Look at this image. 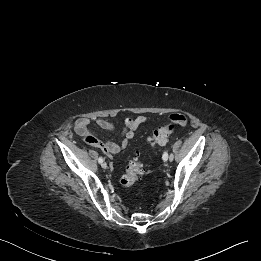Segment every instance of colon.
Segmentation results:
<instances>
[{
	"label": "colon",
	"mask_w": 261,
	"mask_h": 261,
	"mask_svg": "<svg viewBox=\"0 0 261 261\" xmlns=\"http://www.w3.org/2000/svg\"><path fill=\"white\" fill-rule=\"evenodd\" d=\"M187 119L181 116H173L170 121L153 132L148 138V142L152 147L164 145L169 136L174 132L176 125H185ZM145 172L143 164L138 160H132L129 162L126 174L121 178V185L128 189L131 188L139 177Z\"/></svg>",
	"instance_id": "colon-1"
}]
</instances>
